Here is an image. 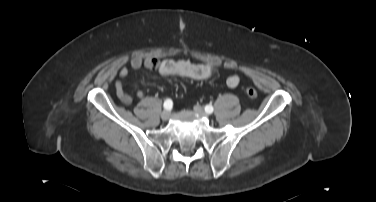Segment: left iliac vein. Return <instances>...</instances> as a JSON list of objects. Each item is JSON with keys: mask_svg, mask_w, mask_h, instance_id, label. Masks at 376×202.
Here are the masks:
<instances>
[{"mask_svg": "<svg viewBox=\"0 0 376 202\" xmlns=\"http://www.w3.org/2000/svg\"><path fill=\"white\" fill-rule=\"evenodd\" d=\"M194 111L200 115L209 117L208 114L204 111L203 107L200 105H194L193 107Z\"/></svg>", "mask_w": 376, "mask_h": 202, "instance_id": "left-iliac-vein-1", "label": "left iliac vein"}]
</instances>
